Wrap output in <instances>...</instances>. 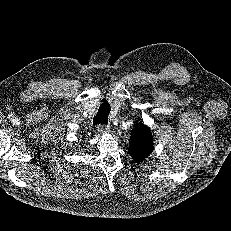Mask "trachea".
Wrapping results in <instances>:
<instances>
[{"instance_id":"3493384b","label":"trachea","mask_w":231,"mask_h":231,"mask_svg":"<svg viewBox=\"0 0 231 231\" xmlns=\"http://www.w3.org/2000/svg\"><path fill=\"white\" fill-rule=\"evenodd\" d=\"M102 104L100 105L97 114L93 118V125L107 124L108 115L110 113L111 107L107 103L106 99L101 100Z\"/></svg>"}]
</instances>
